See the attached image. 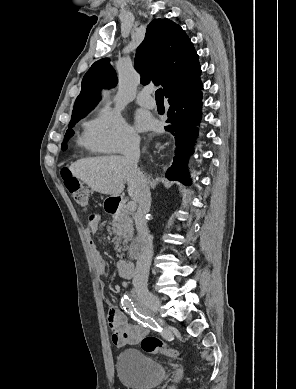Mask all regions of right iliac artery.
<instances>
[{
	"instance_id": "obj_1",
	"label": "right iliac artery",
	"mask_w": 296,
	"mask_h": 389,
	"mask_svg": "<svg viewBox=\"0 0 296 389\" xmlns=\"http://www.w3.org/2000/svg\"><path fill=\"white\" fill-rule=\"evenodd\" d=\"M121 303H122V306H123V308H124V310L126 311V312H128V313H133V309L134 308H140L136 303H134L133 301H132V299L129 297V296H127V295H125L123 298H122V301H121ZM140 305H141V303H139ZM142 306V305H141Z\"/></svg>"
}]
</instances>
